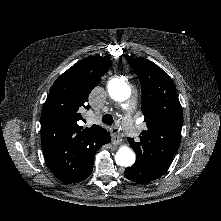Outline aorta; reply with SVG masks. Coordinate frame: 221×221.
I'll return each instance as SVG.
<instances>
[{
    "label": "aorta",
    "mask_w": 221,
    "mask_h": 221,
    "mask_svg": "<svg viewBox=\"0 0 221 221\" xmlns=\"http://www.w3.org/2000/svg\"><path fill=\"white\" fill-rule=\"evenodd\" d=\"M108 93L112 99L118 102L127 100L131 95L130 86L123 80L113 78L108 83ZM136 159L133 150L127 146H122L115 155L117 165L129 167L134 164Z\"/></svg>",
    "instance_id": "1"
}]
</instances>
